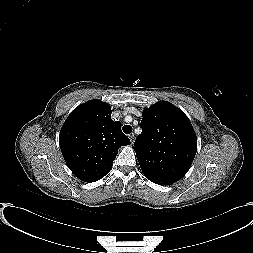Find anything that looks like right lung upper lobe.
I'll return each instance as SVG.
<instances>
[{"mask_svg": "<svg viewBox=\"0 0 253 253\" xmlns=\"http://www.w3.org/2000/svg\"><path fill=\"white\" fill-rule=\"evenodd\" d=\"M111 107L91 100L76 107L60 131V148L70 170L85 182L109 173L120 146L130 144L121 122L111 119Z\"/></svg>", "mask_w": 253, "mask_h": 253, "instance_id": "right-lung-upper-lobe-1", "label": "right lung upper lobe"}]
</instances>
